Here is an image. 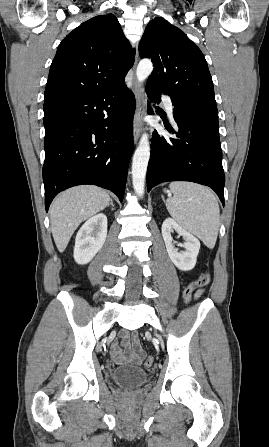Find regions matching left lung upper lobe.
Returning a JSON list of instances; mask_svg holds the SVG:
<instances>
[{"instance_id":"obj_1","label":"left lung upper lobe","mask_w":269,"mask_h":447,"mask_svg":"<svg viewBox=\"0 0 269 447\" xmlns=\"http://www.w3.org/2000/svg\"><path fill=\"white\" fill-rule=\"evenodd\" d=\"M141 58L154 69L146 87L169 95L174 108L195 120L218 125L212 78L200 49L179 28L153 19L139 44Z\"/></svg>"}]
</instances>
